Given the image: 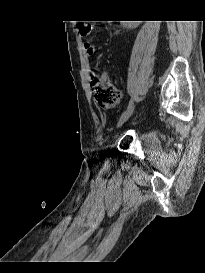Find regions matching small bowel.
<instances>
[{
    "mask_svg": "<svg viewBox=\"0 0 205 273\" xmlns=\"http://www.w3.org/2000/svg\"><path fill=\"white\" fill-rule=\"evenodd\" d=\"M85 50H86L87 54L90 56L94 55L96 52V49L92 45H90L89 43L85 44Z\"/></svg>",
    "mask_w": 205,
    "mask_h": 273,
    "instance_id": "1",
    "label": "small bowel"
}]
</instances>
